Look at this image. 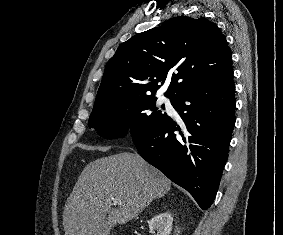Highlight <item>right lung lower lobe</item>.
<instances>
[{
	"label": "right lung lower lobe",
	"mask_w": 283,
	"mask_h": 235,
	"mask_svg": "<svg viewBox=\"0 0 283 235\" xmlns=\"http://www.w3.org/2000/svg\"><path fill=\"white\" fill-rule=\"evenodd\" d=\"M182 121L167 116L132 138L141 157L186 189L203 209L215 198L235 124L233 72L172 98Z\"/></svg>",
	"instance_id": "right-lung-lower-lobe-1"
}]
</instances>
